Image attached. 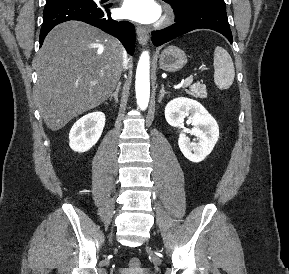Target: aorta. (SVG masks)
<instances>
[{"mask_svg": "<svg viewBox=\"0 0 289 274\" xmlns=\"http://www.w3.org/2000/svg\"><path fill=\"white\" fill-rule=\"evenodd\" d=\"M135 90L138 107L145 110L150 99V56L148 51L141 54L137 65Z\"/></svg>", "mask_w": 289, "mask_h": 274, "instance_id": "obj_1", "label": "aorta"}]
</instances>
